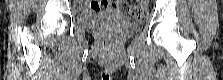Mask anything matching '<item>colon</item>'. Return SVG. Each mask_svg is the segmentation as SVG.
I'll list each match as a JSON object with an SVG mask.
<instances>
[{"instance_id": "1", "label": "colon", "mask_w": 223, "mask_h": 80, "mask_svg": "<svg viewBox=\"0 0 223 80\" xmlns=\"http://www.w3.org/2000/svg\"><path fill=\"white\" fill-rule=\"evenodd\" d=\"M125 12L126 15L134 21H137L141 18V9L136 5L125 7Z\"/></svg>"}]
</instances>
